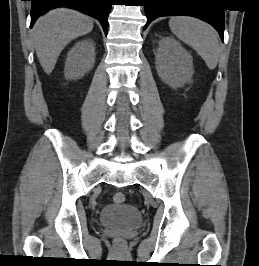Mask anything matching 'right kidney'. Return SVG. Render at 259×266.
<instances>
[{"mask_svg": "<svg viewBox=\"0 0 259 266\" xmlns=\"http://www.w3.org/2000/svg\"><path fill=\"white\" fill-rule=\"evenodd\" d=\"M95 63V44L91 39L77 42L67 54L64 75L77 79L89 72Z\"/></svg>", "mask_w": 259, "mask_h": 266, "instance_id": "1", "label": "right kidney"}]
</instances>
